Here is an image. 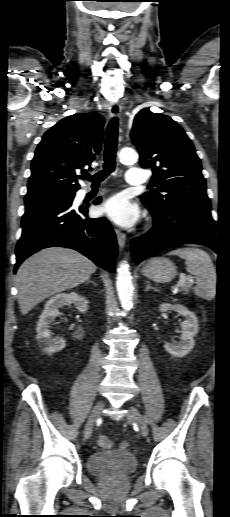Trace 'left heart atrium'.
Returning <instances> with one entry per match:
<instances>
[{"mask_svg":"<svg viewBox=\"0 0 230 517\" xmlns=\"http://www.w3.org/2000/svg\"><path fill=\"white\" fill-rule=\"evenodd\" d=\"M101 213L122 226L133 224L138 217L137 207L127 197L121 194L108 199L102 206Z\"/></svg>","mask_w":230,"mask_h":517,"instance_id":"39dd6f15","label":"left heart atrium"}]
</instances>
